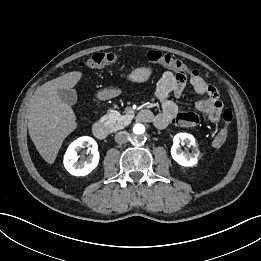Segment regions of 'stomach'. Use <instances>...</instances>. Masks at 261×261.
Returning <instances> with one entry per match:
<instances>
[{
	"label": "stomach",
	"instance_id": "0dacf381",
	"mask_svg": "<svg viewBox=\"0 0 261 261\" xmlns=\"http://www.w3.org/2000/svg\"><path fill=\"white\" fill-rule=\"evenodd\" d=\"M152 73V70L150 67H138L134 69L129 75L128 80L135 83H143L146 82L150 75ZM120 94V90L118 89H104L101 92H99L98 97L102 100L110 99L117 97Z\"/></svg>",
	"mask_w": 261,
	"mask_h": 261
}]
</instances>
